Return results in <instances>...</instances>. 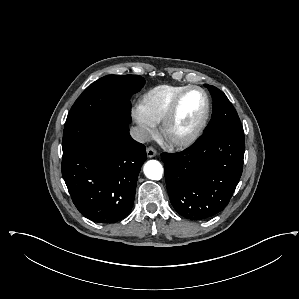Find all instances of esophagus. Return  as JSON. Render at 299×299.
<instances>
[{
	"label": "esophagus",
	"instance_id": "1",
	"mask_svg": "<svg viewBox=\"0 0 299 299\" xmlns=\"http://www.w3.org/2000/svg\"><path fill=\"white\" fill-rule=\"evenodd\" d=\"M146 154L148 158H152L157 155V151L153 147H148L146 150Z\"/></svg>",
	"mask_w": 299,
	"mask_h": 299
}]
</instances>
